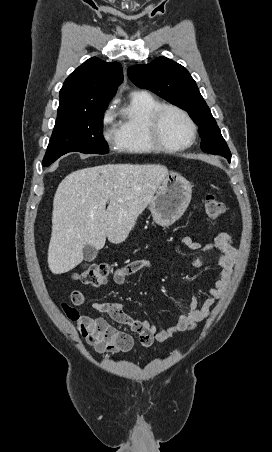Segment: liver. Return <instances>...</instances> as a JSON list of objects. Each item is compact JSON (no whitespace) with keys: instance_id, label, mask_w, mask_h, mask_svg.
Listing matches in <instances>:
<instances>
[{"instance_id":"obj_1","label":"liver","mask_w":272,"mask_h":452,"mask_svg":"<svg viewBox=\"0 0 272 452\" xmlns=\"http://www.w3.org/2000/svg\"><path fill=\"white\" fill-rule=\"evenodd\" d=\"M167 173L162 165L105 164L67 175L53 200L51 272L74 269L87 244L99 250L106 237L113 244L125 241Z\"/></svg>"}]
</instances>
